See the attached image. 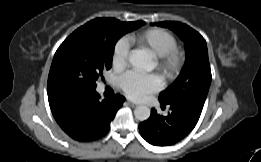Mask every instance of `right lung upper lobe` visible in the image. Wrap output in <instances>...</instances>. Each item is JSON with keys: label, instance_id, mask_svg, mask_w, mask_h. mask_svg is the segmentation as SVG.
Segmentation results:
<instances>
[{"label": "right lung upper lobe", "instance_id": "1", "mask_svg": "<svg viewBox=\"0 0 261 162\" xmlns=\"http://www.w3.org/2000/svg\"><path fill=\"white\" fill-rule=\"evenodd\" d=\"M58 104H59V103H54V102L49 103L50 108H53V107L57 106Z\"/></svg>", "mask_w": 261, "mask_h": 162}]
</instances>
